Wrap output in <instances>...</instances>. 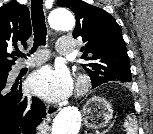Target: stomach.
<instances>
[{
	"label": "stomach",
	"mask_w": 153,
	"mask_h": 134,
	"mask_svg": "<svg viewBox=\"0 0 153 134\" xmlns=\"http://www.w3.org/2000/svg\"><path fill=\"white\" fill-rule=\"evenodd\" d=\"M83 116L88 129L104 128L113 118L112 105L104 98L92 97L83 107Z\"/></svg>",
	"instance_id": "obj_1"
}]
</instances>
